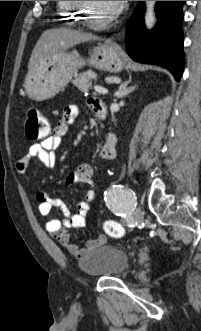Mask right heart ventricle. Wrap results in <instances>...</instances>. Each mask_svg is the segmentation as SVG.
Listing matches in <instances>:
<instances>
[{
  "mask_svg": "<svg viewBox=\"0 0 201 331\" xmlns=\"http://www.w3.org/2000/svg\"><path fill=\"white\" fill-rule=\"evenodd\" d=\"M56 4L61 21L65 22L67 25H75L77 22L76 17L79 14L75 8L74 1H57Z\"/></svg>",
  "mask_w": 201,
  "mask_h": 331,
  "instance_id": "right-heart-ventricle-1",
  "label": "right heart ventricle"
}]
</instances>
